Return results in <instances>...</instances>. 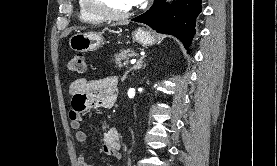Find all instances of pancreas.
Instances as JSON below:
<instances>
[{
	"label": "pancreas",
	"mask_w": 277,
	"mask_h": 166,
	"mask_svg": "<svg viewBox=\"0 0 277 166\" xmlns=\"http://www.w3.org/2000/svg\"><path fill=\"white\" fill-rule=\"evenodd\" d=\"M135 55L134 50H121L119 53L115 55V64L119 68H122L123 66L128 64L129 57H132Z\"/></svg>",
	"instance_id": "cf45deb5"
}]
</instances>
